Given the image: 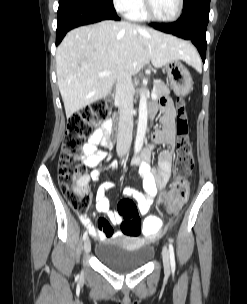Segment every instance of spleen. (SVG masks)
I'll list each match as a JSON object with an SVG mask.
<instances>
[{"mask_svg":"<svg viewBox=\"0 0 247 304\" xmlns=\"http://www.w3.org/2000/svg\"><path fill=\"white\" fill-rule=\"evenodd\" d=\"M196 69H200L201 68V63H200V60L198 58V61L195 65H193Z\"/></svg>","mask_w":247,"mask_h":304,"instance_id":"spleen-1","label":"spleen"}]
</instances>
